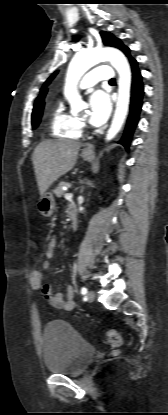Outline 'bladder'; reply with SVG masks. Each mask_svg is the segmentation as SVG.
I'll return each instance as SVG.
<instances>
[{
	"label": "bladder",
	"instance_id": "bladder-1",
	"mask_svg": "<svg viewBox=\"0 0 168 415\" xmlns=\"http://www.w3.org/2000/svg\"><path fill=\"white\" fill-rule=\"evenodd\" d=\"M43 359L52 374L78 376L92 362L95 348L69 323L48 322L43 330Z\"/></svg>",
	"mask_w": 168,
	"mask_h": 415
}]
</instances>
